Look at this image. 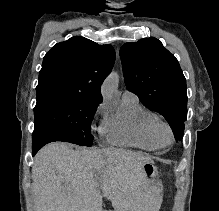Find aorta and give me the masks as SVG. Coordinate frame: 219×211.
<instances>
[{
    "mask_svg": "<svg viewBox=\"0 0 219 211\" xmlns=\"http://www.w3.org/2000/svg\"><path fill=\"white\" fill-rule=\"evenodd\" d=\"M119 83V75L117 72H112L102 85V94L105 98H111L116 92Z\"/></svg>",
    "mask_w": 219,
    "mask_h": 211,
    "instance_id": "762f6f07",
    "label": "aorta"
}]
</instances>
